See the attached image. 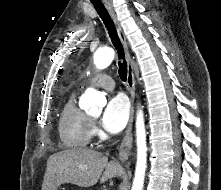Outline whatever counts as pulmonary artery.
Returning <instances> with one entry per match:
<instances>
[{"mask_svg":"<svg viewBox=\"0 0 221 190\" xmlns=\"http://www.w3.org/2000/svg\"><path fill=\"white\" fill-rule=\"evenodd\" d=\"M89 83L91 85L100 86L106 90H112L114 88L113 79L106 74H98L90 78Z\"/></svg>","mask_w":221,"mask_h":190,"instance_id":"pulmonary-artery-1","label":"pulmonary artery"}]
</instances>
